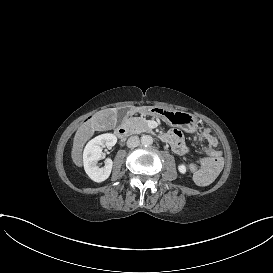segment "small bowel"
Returning <instances> with one entry per match:
<instances>
[{
  "mask_svg": "<svg viewBox=\"0 0 273 273\" xmlns=\"http://www.w3.org/2000/svg\"><path fill=\"white\" fill-rule=\"evenodd\" d=\"M162 136L164 137L165 142L171 144L173 150L176 151L177 153L182 154L184 152L189 151V149L184 144H182L185 138L182 130L176 128L167 133L162 134ZM199 138L201 141H205L207 143L205 146L206 154L209 153L220 154L217 150L214 149V146L217 144V140L209 128L205 127L200 128ZM189 169L191 172L194 173L195 176L200 170L194 165H190Z\"/></svg>",
  "mask_w": 273,
  "mask_h": 273,
  "instance_id": "1",
  "label": "small bowel"
}]
</instances>
